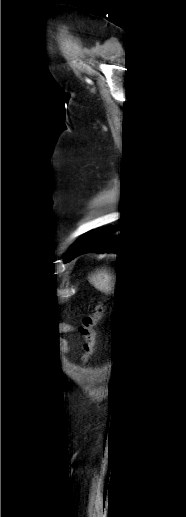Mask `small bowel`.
I'll return each instance as SVG.
<instances>
[{
  "instance_id": "obj_1",
  "label": "small bowel",
  "mask_w": 186,
  "mask_h": 517,
  "mask_svg": "<svg viewBox=\"0 0 186 517\" xmlns=\"http://www.w3.org/2000/svg\"><path fill=\"white\" fill-rule=\"evenodd\" d=\"M58 331L60 333H70L73 331V328L68 324H62V325H60ZM60 346L63 351H65V352L68 351V345H67L66 341L60 340Z\"/></svg>"
}]
</instances>
